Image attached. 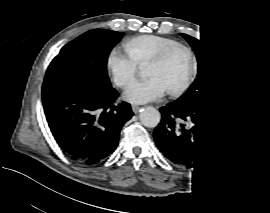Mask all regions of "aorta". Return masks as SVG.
<instances>
[{"label": "aorta", "mask_w": 270, "mask_h": 213, "mask_svg": "<svg viewBox=\"0 0 270 213\" xmlns=\"http://www.w3.org/2000/svg\"><path fill=\"white\" fill-rule=\"evenodd\" d=\"M139 118L144 126L156 127L160 122V112L152 106H147L141 110Z\"/></svg>", "instance_id": "obj_1"}]
</instances>
